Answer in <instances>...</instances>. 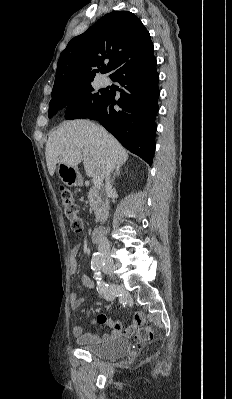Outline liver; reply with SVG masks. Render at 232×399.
Here are the masks:
<instances>
[{
  "label": "liver",
  "mask_w": 232,
  "mask_h": 399,
  "mask_svg": "<svg viewBox=\"0 0 232 399\" xmlns=\"http://www.w3.org/2000/svg\"><path fill=\"white\" fill-rule=\"evenodd\" d=\"M102 130L101 126L89 120H71L60 124L46 144L45 156L50 176H54L56 164L77 168L82 160L89 178H105L108 164H114L117 168L123 166L128 160L126 150L111 134H108V140L103 138Z\"/></svg>",
  "instance_id": "1"
}]
</instances>
